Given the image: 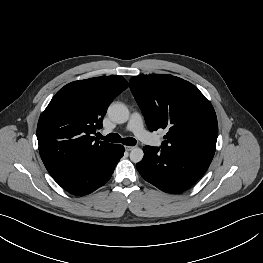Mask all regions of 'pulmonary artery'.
I'll use <instances>...</instances> for the list:
<instances>
[{"mask_svg": "<svg viewBox=\"0 0 263 263\" xmlns=\"http://www.w3.org/2000/svg\"><path fill=\"white\" fill-rule=\"evenodd\" d=\"M126 129L131 131L142 142H148L150 144H154L155 146H161V141L156 136L145 130L143 119L137 112H134L131 115L126 125Z\"/></svg>", "mask_w": 263, "mask_h": 263, "instance_id": "obj_1", "label": "pulmonary artery"}]
</instances>
